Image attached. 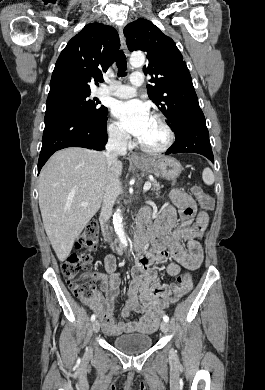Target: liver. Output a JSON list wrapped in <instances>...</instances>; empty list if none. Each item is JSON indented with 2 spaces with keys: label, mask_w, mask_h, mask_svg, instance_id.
<instances>
[{
  "label": "liver",
  "mask_w": 265,
  "mask_h": 390,
  "mask_svg": "<svg viewBox=\"0 0 265 390\" xmlns=\"http://www.w3.org/2000/svg\"><path fill=\"white\" fill-rule=\"evenodd\" d=\"M123 164L108 167L103 152L70 147L55 152L39 175V207L50 243L60 261L100 209L107 184L119 180ZM82 203H88L82 206Z\"/></svg>",
  "instance_id": "liver-1"
}]
</instances>
